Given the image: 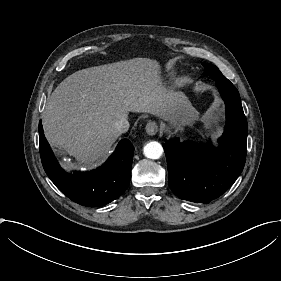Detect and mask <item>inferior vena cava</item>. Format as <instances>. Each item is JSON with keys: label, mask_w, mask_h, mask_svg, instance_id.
Wrapping results in <instances>:
<instances>
[{"label": "inferior vena cava", "mask_w": 281, "mask_h": 281, "mask_svg": "<svg viewBox=\"0 0 281 281\" xmlns=\"http://www.w3.org/2000/svg\"><path fill=\"white\" fill-rule=\"evenodd\" d=\"M115 127L120 133H125L129 129V122L127 119L122 118L115 123Z\"/></svg>", "instance_id": "1"}]
</instances>
